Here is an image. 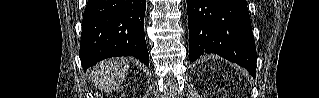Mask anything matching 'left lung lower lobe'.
Listing matches in <instances>:
<instances>
[{
    "label": "left lung lower lobe",
    "instance_id": "obj_1",
    "mask_svg": "<svg viewBox=\"0 0 319 98\" xmlns=\"http://www.w3.org/2000/svg\"><path fill=\"white\" fill-rule=\"evenodd\" d=\"M189 58L218 54L255 78L256 49L246 0H187Z\"/></svg>",
    "mask_w": 319,
    "mask_h": 98
}]
</instances>
